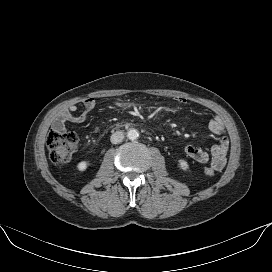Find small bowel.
Instances as JSON below:
<instances>
[{
    "instance_id": "1",
    "label": "small bowel",
    "mask_w": 272,
    "mask_h": 272,
    "mask_svg": "<svg viewBox=\"0 0 272 272\" xmlns=\"http://www.w3.org/2000/svg\"><path fill=\"white\" fill-rule=\"evenodd\" d=\"M176 101L180 104L187 102L186 98L178 97ZM96 105L94 98H87L84 100L85 111L77 113V106L70 105L64 110L54 121L53 128L57 131L64 132L66 130V123H81L84 122L90 111ZM208 129L211 133L219 137L217 144L213 145L210 151H206L200 147L188 145L185 148V153L188 157L198 163L210 162L211 167L214 170H221L226 164V155L229 148V139L226 134V130L222 120L219 117L212 118L208 123Z\"/></svg>"
}]
</instances>
